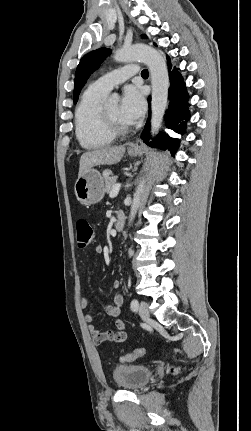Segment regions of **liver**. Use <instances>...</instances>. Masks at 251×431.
Here are the masks:
<instances>
[{"label":"liver","mask_w":251,"mask_h":431,"mask_svg":"<svg viewBox=\"0 0 251 431\" xmlns=\"http://www.w3.org/2000/svg\"><path fill=\"white\" fill-rule=\"evenodd\" d=\"M125 151V145H121L100 147L83 153L79 162L78 177L83 176L94 166L118 163L122 159Z\"/></svg>","instance_id":"1"}]
</instances>
